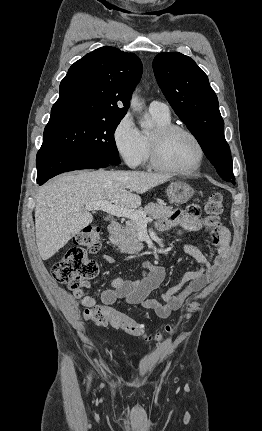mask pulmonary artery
I'll return each mask as SVG.
<instances>
[{
	"label": "pulmonary artery",
	"instance_id": "obj_1",
	"mask_svg": "<svg viewBox=\"0 0 262 431\" xmlns=\"http://www.w3.org/2000/svg\"><path fill=\"white\" fill-rule=\"evenodd\" d=\"M149 111L163 115V116L170 115V110H169L168 105L164 102H160V101H156V100L152 101L149 104Z\"/></svg>",
	"mask_w": 262,
	"mask_h": 431
}]
</instances>
